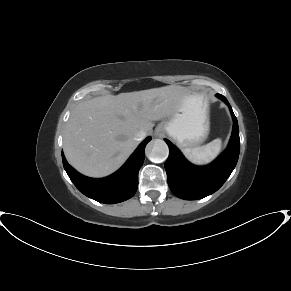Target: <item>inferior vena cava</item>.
Masks as SVG:
<instances>
[{
    "instance_id": "602c4592",
    "label": "inferior vena cava",
    "mask_w": 291,
    "mask_h": 291,
    "mask_svg": "<svg viewBox=\"0 0 291 291\" xmlns=\"http://www.w3.org/2000/svg\"><path fill=\"white\" fill-rule=\"evenodd\" d=\"M146 137V132L140 130L134 134V140L141 141Z\"/></svg>"
}]
</instances>
